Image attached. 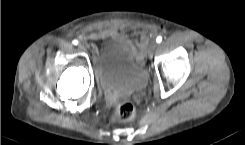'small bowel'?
Listing matches in <instances>:
<instances>
[{"instance_id": "small-bowel-1", "label": "small bowel", "mask_w": 245, "mask_h": 145, "mask_svg": "<svg viewBox=\"0 0 245 145\" xmlns=\"http://www.w3.org/2000/svg\"><path fill=\"white\" fill-rule=\"evenodd\" d=\"M110 33H111L110 30H107V29H99L97 32H95L94 34H92V35L90 36V38H91L92 40H99V39L105 38V37L108 36ZM143 35H145V33H143Z\"/></svg>"}]
</instances>
